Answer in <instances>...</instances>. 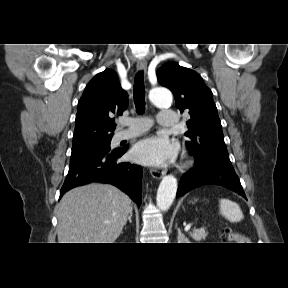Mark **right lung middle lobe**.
Masks as SVG:
<instances>
[{
  "mask_svg": "<svg viewBox=\"0 0 288 288\" xmlns=\"http://www.w3.org/2000/svg\"><path fill=\"white\" fill-rule=\"evenodd\" d=\"M110 142L111 139L91 146L73 148L70 161H76L94 153L108 151L110 150Z\"/></svg>",
  "mask_w": 288,
  "mask_h": 288,
  "instance_id": "obj_1",
  "label": "right lung middle lobe"
}]
</instances>
